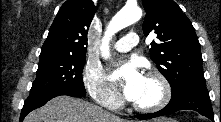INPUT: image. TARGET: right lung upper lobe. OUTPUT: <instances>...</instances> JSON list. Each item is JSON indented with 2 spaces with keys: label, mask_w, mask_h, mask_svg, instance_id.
<instances>
[{
  "label": "right lung upper lobe",
  "mask_w": 221,
  "mask_h": 122,
  "mask_svg": "<svg viewBox=\"0 0 221 122\" xmlns=\"http://www.w3.org/2000/svg\"><path fill=\"white\" fill-rule=\"evenodd\" d=\"M95 11L92 0H67L51 25L40 59L86 57L87 31Z\"/></svg>",
  "instance_id": "right-lung-upper-lobe-1"
}]
</instances>
